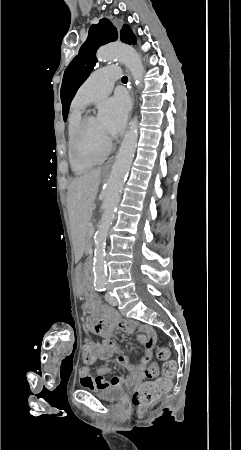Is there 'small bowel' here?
I'll return each mask as SVG.
<instances>
[{"mask_svg":"<svg viewBox=\"0 0 241 450\" xmlns=\"http://www.w3.org/2000/svg\"><path fill=\"white\" fill-rule=\"evenodd\" d=\"M83 305L82 308L84 310L87 307H93V298H84ZM98 321L108 323L105 320ZM88 328L94 330V333H99L103 337L102 344L96 343V347H99L100 353L99 356H95L93 362L95 363L98 359L107 360L112 356L113 352H119L117 362L127 368L130 371V375L127 377L115 375L110 379H105L102 374L106 371V367H101L98 369V375L93 377L90 369L83 367L80 370V382L84 388L90 390H107L109 388H119L122 386L135 387L147 377L146 370L153 357L154 347L158 342V334L153 326L129 319L113 324L110 328L107 327V324H97L95 321L89 323ZM115 329L121 330L127 334H132L134 332L138 333V340L143 346V353L138 364L131 363L130 359L119 350L116 342L112 338ZM86 342L91 341L86 340Z\"/></svg>","mask_w":241,"mask_h":450,"instance_id":"small-bowel-1","label":"small bowel"}]
</instances>
